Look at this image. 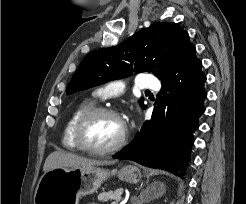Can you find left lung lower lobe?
Here are the masks:
<instances>
[{
	"label": "left lung lower lobe",
	"instance_id": "0a47b994",
	"mask_svg": "<svg viewBox=\"0 0 246 204\" xmlns=\"http://www.w3.org/2000/svg\"><path fill=\"white\" fill-rule=\"evenodd\" d=\"M194 46L161 80L152 118L146 121L131 144L113 156L116 159L170 171L183 178L193 144V132L204 113L206 77Z\"/></svg>",
	"mask_w": 246,
	"mask_h": 204
}]
</instances>
